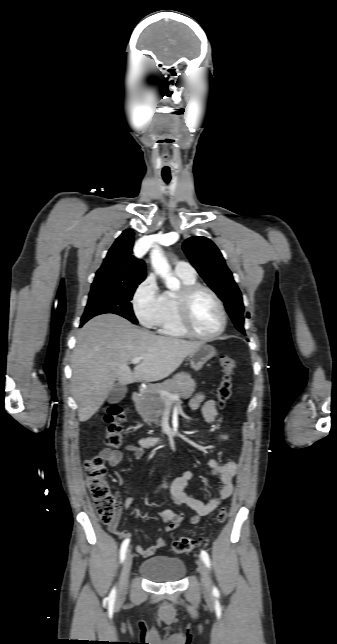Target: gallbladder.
Segmentation results:
<instances>
[{"instance_id":"1","label":"gallbladder","mask_w":337,"mask_h":644,"mask_svg":"<svg viewBox=\"0 0 337 644\" xmlns=\"http://www.w3.org/2000/svg\"><path fill=\"white\" fill-rule=\"evenodd\" d=\"M127 393V387L124 385L116 384L108 395V402L110 404H115L120 402Z\"/></svg>"}]
</instances>
